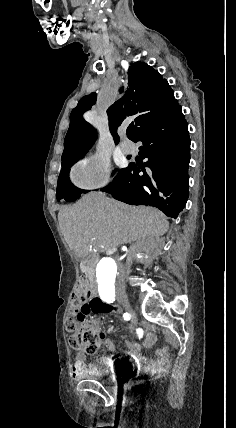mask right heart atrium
Listing matches in <instances>:
<instances>
[{
  "label": "right heart atrium",
  "instance_id": "obj_1",
  "mask_svg": "<svg viewBox=\"0 0 236 428\" xmlns=\"http://www.w3.org/2000/svg\"><path fill=\"white\" fill-rule=\"evenodd\" d=\"M71 181L81 190H95L107 186L111 177L104 161L87 158L73 166Z\"/></svg>",
  "mask_w": 236,
  "mask_h": 428
}]
</instances>
